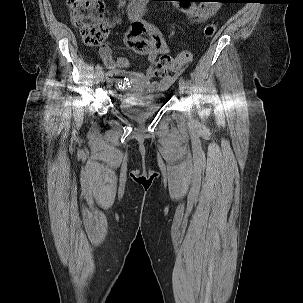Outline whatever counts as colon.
Instances as JSON below:
<instances>
[{
    "instance_id": "colon-1",
    "label": "colon",
    "mask_w": 303,
    "mask_h": 303,
    "mask_svg": "<svg viewBox=\"0 0 303 303\" xmlns=\"http://www.w3.org/2000/svg\"><path fill=\"white\" fill-rule=\"evenodd\" d=\"M73 24L80 29L83 42L88 46L101 45L108 34V28L102 20L104 5L102 0H67ZM217 27L209 23L204 28L205 38H211ZM192 58L190 52H182L176 58L163 53L151 66L156 76H164L169 71L180 70Z\"/></svg>"
}]
</instances>
